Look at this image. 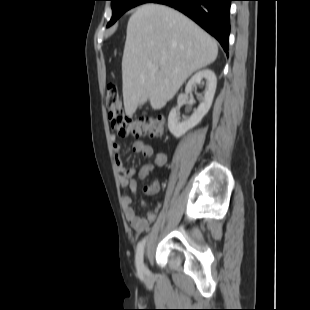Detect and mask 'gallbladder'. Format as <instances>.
<instances>
[{"instance_id": "gallbladder-1", "label": "gallbladder", "mask_w": 310, "mask_h": 310, "mask_svg": "<svg viewBox=\"0 0 310 310\" xmlns=\"http://www.w3.org/2000/svg\"><path fill=\"white\" fill-rule=\"evenodd\" d=\"M145 103H146V100H142V101L139 102V105H138V106H139V107H142Z\"/></svg>"}]
</instances>
